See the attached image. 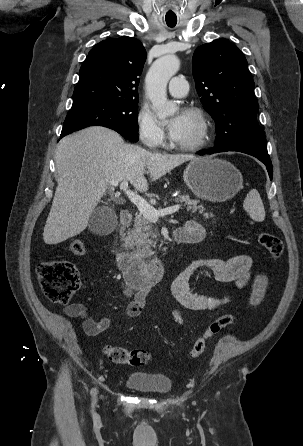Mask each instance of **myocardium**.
Returning a JSON list of instances; mask_svg holds the SVG:
<instances>
[{
  "mask_svg": "<svg viewBox=\"0 0 303 446\" xmlns=\"http://www.w3.org/2000/svg\"><path fill=\"white\" fill-rule=\"evenodd\" d=\"M186 114L194 115L200 123V131L197 136V138L192 141L191 143L187 144H181V143H174V146L182 151H196L204 146V144L207 142L209 137V131H210V124L208 117L205 113V111L197 106H190L187 107L184 111Z\"/></svg>",
  "mask_w": 303,
  "mask_h": 446,
  "instance_id": "myocardium-1",
  "label": "myocardium"
}]
</instances>
